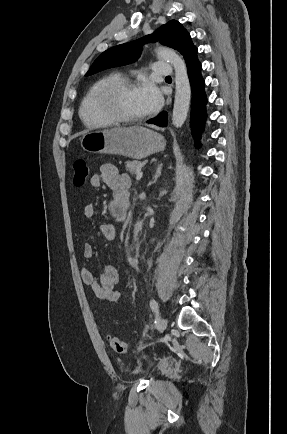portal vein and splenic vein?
<instances>
[{
  "mask_svg": "<svg viewBox=\"0 0 287 434\" xmlns=\"http://www.w3.org/2000/svg\"><path fill=\"white\" fill-rule=\"evenodd\" d=\"M142 176H143V172H142L141 169H140V170H138L137 173H136V180H140V179L142 178Z\"/></svg>",
  "mask_w": 287,
  "mask_h": 434,
  "instance_id": "portal-vein-and-splenic-vein-1",
  "label": "portal vein and splenic vein"
}]
</instances>
